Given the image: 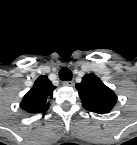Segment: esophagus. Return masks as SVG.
Here are the masks:
<instances>
[{"instance_id":"esophagus-1","label":"esophagus","mask_w":137,"mask_h":145,"mask_svg":"<svg viewBox=\"0 0 137 145\" xmlns=\"http://www.w3.org/2000/svg\"><path fill=\"white\" fill-rule=\"evenodd\" d=\"M62 84H63L64 86H69V87L74 86V82H73V81H64Z\"/></svg>"}]
</instances>
